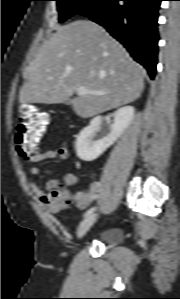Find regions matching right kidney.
<instances>
[{
  "label": "right kidney",
  "instance_id": "right-kidney-1",
  "mask_svg": "<svg viewBox=\"0 0 180 299\" xmlns=\"http://www.w3.org/2000/svg\"><path fill=\"white\" fill-rule=\"evenodd\" d=\"M135 108L124 106L114 113V123L110 133L100 140L91 141L90 137L98 132L102 124V117L93 118L90 124L85 127L77 136L75 148L77 156L83 161L97 159L107 148H109L129 127L134 118Z\"/></svg>",
  "mask_w": 180,
  "mask_h": 299
}]
</instances>
